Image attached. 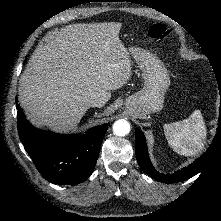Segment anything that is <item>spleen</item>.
<instances>
[{
  "label": "spleen",
  "instance_id": "1",
  "mask_svg": "<svg viewBox=\"0 0 221 221\" xmlns=\"http://www.w3.org/2000/svg\"><path fill=\"white\" fill-rule=\"evenodd\" d=\"M164 133L174 151L193 156L204 147L206 126L201 112L195 110L187 119L165 124Z\"/></svg>",
  "mask_w": 221,
  "mask_h": 221
}]
</instances>
